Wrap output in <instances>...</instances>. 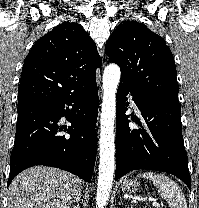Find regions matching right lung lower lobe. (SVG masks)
<instances>
[{
  "mask_svg": "<svg viewBox=\"0 0 199 208\" xmlns=\"http://www.w3.org/2000/svg\"><path fill=\"white\" fill-rule=\"evenodd\" d=\"M97 113L96 79L79 91L18 108L7 186L35 165L64 169L90 182L96 159ZM62 117L71 126H60ZM61 131L68 135H59Z\"/></svg>",
  "mask_w": 199,
  "mask_h": 208,
  "instance_id": "obj_1",
  "label": "right lung lower lobe"
}]
</instances>
